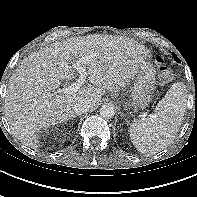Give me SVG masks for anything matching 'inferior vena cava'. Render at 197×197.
<instances>
[{"instance_id":"obj_1","label":"inferior vena cava","mask_w":197,"mask_h":197,"mask_svg":"<svg viewBox=\"0 0 197 197\" xmlns=\"http://www.w3.org/2000/svg\"><path fill=\"white\" fill-rule=\"evenodd\" d=\"M91 108V103L87 99H79L75 102L73 105V111L76 115H81L85 112H87Z\"/></svg>"}]
</instances>
